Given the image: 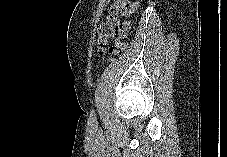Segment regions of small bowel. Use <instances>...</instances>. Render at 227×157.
Here are the masks:
<instances>
[{"label":"small bowel","mask_w":227,"mask_h":157,"mask_svg":"<svg viewBox=\"0 0 227 157\" xmlns=\"http://www.w3.org/2000/svg\"><path fill=\"white\" fill-rule=\"evenodd\" d=\"M136 7V4H133L132 6H131V9H134Z\"/></svg>","instance_id":"obj_1"}]
</instances>
